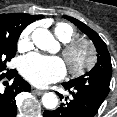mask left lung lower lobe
<instances>
[{
    "mask_svg": "<svg viewBox=\"0 0 117 117\" xmlns=\"http://www.w3.org/2000/svg\"><path fill=\"white\" fill-rule=\"evenodd\" d=\"M64 88L72 94L73 98L62 103L59 108L53 111H44V117H94L99 107L103 103L95 93L86 89L71 86L66 83L62 84ZM63 99V96L60 95ZM67 100V98L65 99Z\"/></svg>",
    "mask_w": 117,
    "mask_h": 117,
    "instance_id": "obj_1",
    "label": "left lung lower lobe"
}]
</instances>
